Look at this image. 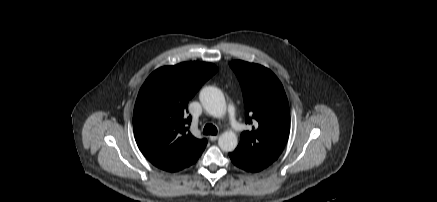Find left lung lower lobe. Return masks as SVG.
Here are the masks:
<instances>
[{"label": "left lung lower lobe", "mask_w": 437, "mask_h": 202, "mask_svg": "<svg viewBox=\"0 0 437 202\" xmlns=\"http://www.w3.org/2000/svg\"><path fill=\"white\" fill-rule=\"evenodd\" d=\"M229 156L234 165L248 172H259L266 168L265 166L248 159L237 151L229 153Z\"/></svg>", "instance_id": "left-lung-lower-lobe-1"}]
</instances>
